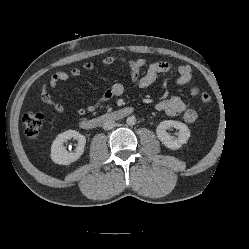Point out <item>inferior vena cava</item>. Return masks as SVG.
Returning <instances> with one entry per match:
<instances>
[{
  "label": "inferior vena cava",
  "mask_w": 249,
  "mask_h": 249,
  "mask_svg": "<svg viewBox=\"0 0 249 249\" xmlns=\"http://www.w3.org/2000/svg\"><path fill=\"white\" fill-rule=\"evenodd\" d=\"M115 125H116V123H115L114 120L108 119V120H106V121L103 123L102 127H103L104 130H111L112 128L115 127Z\"/></svg>",
  "instance_id": "1"
}]
</instances>
